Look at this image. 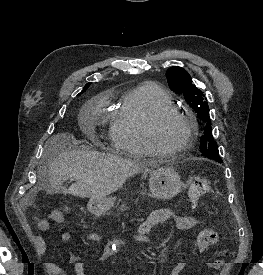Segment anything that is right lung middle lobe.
I'll use <instances>...</instances> for the list:
<instances>
[{
	"mask_svg": "<svg viewBox=\"0 0 263 275\" xmlns=\"http://www.w3.org/2000/svg\"><path fill=\"white\" fill-rule=\"evenodd\" d=\"M87 88H85L81 93H83Z\"/></svg>",
	"mask_w": 263,
	"mask_h": 275,
	"instance_id": "right-lung-middle-lobe-1",
	"label": "right lung middle lobe"
}]
</instances>
